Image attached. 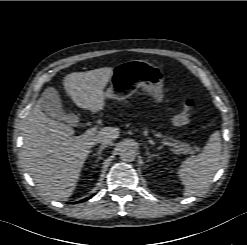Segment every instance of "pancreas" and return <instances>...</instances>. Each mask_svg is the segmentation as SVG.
Wrapping results in <instances>:
<instances>
[{"instance_id": "pancreas-1", "label": "pancreas", "mask_w": 247, "mask_h": 245, "mask_svg": "<svg viewBox=\"0 0 247 245\" xmlns=\"http://www.w3.org/2000/svg\"><path fill=\"white\" fill-rule=\"evenodd\" d=\"M157 137H164L162 136L161 133H156L155 134ZM165 140H170V141H173V145L176 146V149L175 151L176 152H179V153H182V154H187V153H193L194 152V148L193 147H190L188 144L186 143H182L180 141H177V140H174L173 138H166L164 137Z\"/></svg>"}]
</instances>
